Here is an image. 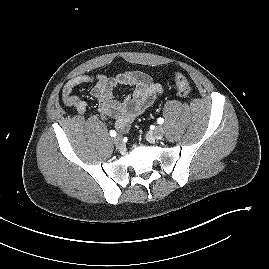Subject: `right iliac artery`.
Segmentation results:
<instances>
[{"label":"right iliac artery","instance_id":"82829eb1","mask_svg":"<svg viewBox=\"0 0 269 269\" xmlns=\"http://www.w3.org/2000/svg\"><path fill=\"white\" fill-rule=\"evenodd\" d=\"M110 135H111L112 137H115V136H116V132H115L114 130H111V131H110Z\"/></svg>","mask_w":269,"mask_h":269}]
</instances>
